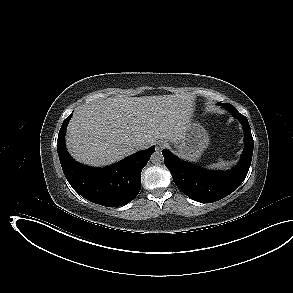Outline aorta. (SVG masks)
<instances>
[{"mask_svg": "<svg viewBox=\"0 0 293 293\" xmlns=\"http://www.w3.org/2000/svg\"><path fill=\"white\" fill-rule=\"evenodd\" d=\"M164 160V157L162 155V153L160 152H154L152 155H151V162L154 164V165H160Z\"/></svg>", "mask_w": 293, "mask_h": 293, "instance_id": "762f6f07", "label": "aorta"}]
</instances>
